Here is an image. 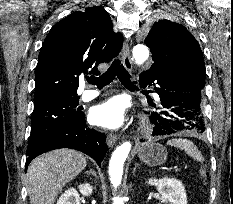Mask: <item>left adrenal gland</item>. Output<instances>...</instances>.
Instances as JSON below:
<instances>
[{
  "label": "left adrenal gland",
  "mask_w": 233,
  "mask_h": 204,
  "mask_svg": "<svg viewBox=\"0 0 233 204\" xmlns=\"http://www.w3.org/2000/svg\"><path fill=\"white\" fill-rule=\"evenodd\" d=\"M137 166H138V165H137ZM137 166L134 168V170H133V174H134V172H135V170H136Z\"/></svg>",
  "instance_id": "a2214340"
}]
</instances>
